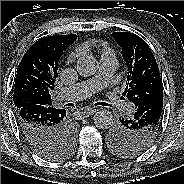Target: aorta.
I'll use <instances>...</instances> for the list:
<instances>
[{
    "label": "aorta",
    "mask_w": 184,
    "mask_h": 184,
    "mask_svg": "<svg viewBox=\"0 0 184 184\" xmlns=\"http://www.w3.org/2000/svg\"><path fill=\"white\" fill-rule=\"evenodd\" d=\"M98 61L94 56H81L77 60L76 69L83 77L94 75L98 70ZM113 114L109 110H100L93 116L94 125L101 130H107L113 125Z\"/></svg>",
    "instance_id": "obj_1"
}]
</instances>
